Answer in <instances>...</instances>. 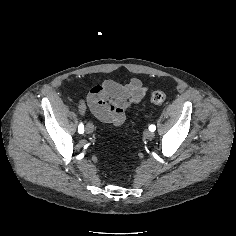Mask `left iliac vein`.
<instances>
[{"label":"left iliac vein","mask_w":236,"mask_h":236,"mask_svg":"<svg viewBox=\"0 0 236 236\" xmlns=\"http://www.w3.org/2000/svg\"><path fill=\"white\" fill-rule=\"evenodd\" d=\"M144 137L148 140H151L154 138V133L152 131L146 130L144 131Z\"/></svg>","instance_id":"left-iliac-vein-1"}]
</instances>
